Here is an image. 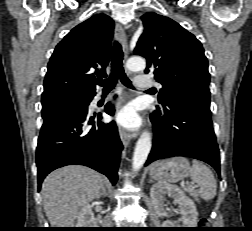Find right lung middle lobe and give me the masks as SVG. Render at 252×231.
<instances>
[{
    "label": "right lung middle lobe",
    "instance_id": "right-lung-middle-lobe-1",
    "mask_svg": "<svg viewBox=\"0 0 252 231\" xmlns=\"http://www.w3.org/2000/svg\"><path fill=\"white\" fill-rule=\"evenodd\" d=\"M84 96H60L42 101L43 120L65 112H80L88 102Z\"/></svg>",
    "mask_w": 252,
    "mask_h": 231
}]
</instances>
